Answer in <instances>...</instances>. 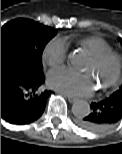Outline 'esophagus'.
I'll return each mask as SVG.
<instances>
[{
	"mask_svg": "<svg viewBox=\"0 0 122 154\" xmlns=\"http://www.w3.org/2000/svg\"><path fill=\"white\" fill-rule=\"evenodd\" d=\"M61 94H63V95L68 99V101H69L70 103H74V102L77 101V98H74V97H71V96H67V95H65L64 93H61Z\"/></svg>",
	"mask_w": 122,
	"mask_h": 154,
	"instance_id": "esophagus-1",
	"label": "esophagus"
}]
</instances>
